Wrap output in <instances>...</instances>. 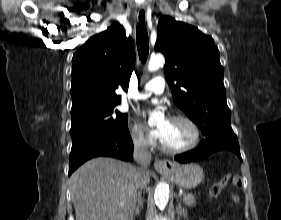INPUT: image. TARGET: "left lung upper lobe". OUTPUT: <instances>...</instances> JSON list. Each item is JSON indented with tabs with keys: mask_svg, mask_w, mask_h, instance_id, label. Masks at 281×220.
<instances>
[{
	"mask_svg": "<svg viewBox=\"0 0 281 220\" xmlns=\"http://www.w3.org/2000/svg\"><path fill=\"white\" fill-rule=\"evenodd\" d=\"M155 49L165 55V76L174 102L199 126L205 138L237 139L231 128L219 50L212 37L163 16Z\"/></svg>",
	"mask_w": 281,
	"mask_h": 220,
	"instance_id": "obj_1",
	"label": "left lung upper lobe"
}]
</instances>
